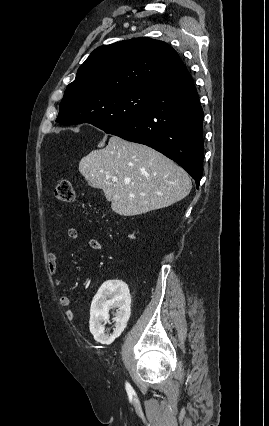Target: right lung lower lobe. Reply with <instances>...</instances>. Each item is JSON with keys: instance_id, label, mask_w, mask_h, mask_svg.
<instances>
[{"instance_id": "obj_1", "label": "right lung lower lobe", "mask_w": 269, "mask_h": 426, "mask_svg": "<svg viewBox=\"0 0 269 426\" xmlns=\"http://www.w3.org/2000/svg\"><path fill=\"white\" fill-rule=\"evenodd\" d=\"M203 110L190 75L154 92L148 108L106 133L147 145L182 166L196 180L203 174Z\"/></svg>"}]
</instances>
